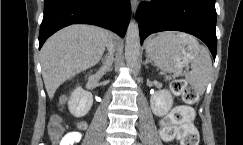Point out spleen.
Instances as JSON below:
<instances>
[{
  "instance_id": "3e777b00",
  "label": "spleen",
  "mask_w": 243,
  "mask_h": 145,
  "mask_svg": "<svg viewBox=\"0 0 243 145\" xmlns=\"http://www.w3.org/2000/svg\"><path fill=\"white\" fill-rule=\"evenodd\" d=\"M212 73V61L208 50L198 45V55L191 61V71L186 75V80L193 89L202 95L208 85Z\"/></svg>"
}]
</instances>
